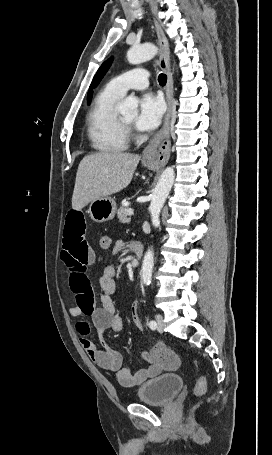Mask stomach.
<instances>
[{
    "label": "stomach",
    "instance_id": "stomach-1",
    "mask_svg": "<svg viewBox=\"0 0 272 455\" xmlns=\"http://www.w3.org/2000/svg\"><path fill=\"white\" fill-rule=\"evenodd\" d=\"M144 166L151 169L155 168L152 160H143ZM116 202L113 198L107 196L104 198L96 199L91 202L88 213L91 219L95 222L102 223L113 219L116 213Z\"/></svg>",
    "mask_w": 272,
    "mask_h": 455
}]
</instances>
